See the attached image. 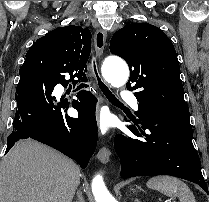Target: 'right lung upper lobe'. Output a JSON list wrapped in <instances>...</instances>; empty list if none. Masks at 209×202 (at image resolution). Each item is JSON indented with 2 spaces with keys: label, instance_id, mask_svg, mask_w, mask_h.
Masks as SVG:
<instances>
[{
  "label": "right lung upper lobe",
  "instance_id": "obj_1",
  "mask_svg": "<svg viewBox=\"0 0 209 202\" xmlns=\"http://www.w3.org/2000/svg\"><path fill=\"white\" fill-rule=\"evenodd\" d=\"M91 32L81 26L56 28L38 39L26 54L20 78L45 77L65 83V74L86 81Z\"/></svg>",
  "mask_w": 209,
  "mask_h": 202
}]
</instances>
